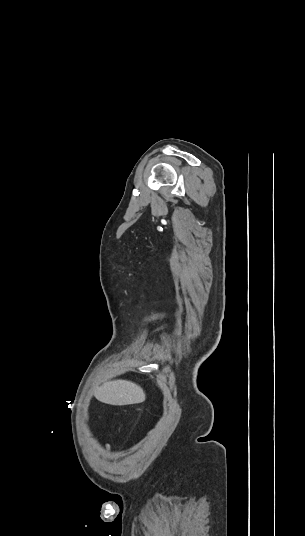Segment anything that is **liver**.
Returning a JSON list of instances; mask_svg holds the SVG:
<instances>
[{
	"mask_svg": "<svg viewBox=\"0 0 305 536\" xmlns=\"http://www.w3.org/2000/svg\"><path fill=\"white\" fill-rule=\"evenodd\" d=\"M95 398L103 404L111 406H128V404H141L145 402L146 394L140 386L126 380H115V382H104L102 386L96 388Z\"/></svg>",
	"mask_w": 305,
	"mask_h": 536,
	"instance_id": "liver-1",
	"label": "liver"
}]
</instances>
